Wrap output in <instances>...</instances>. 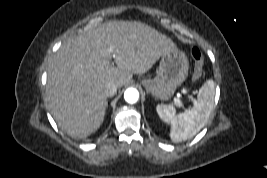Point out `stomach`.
I'll use <instances>...</instances> for the list:
<instances>
[{"mask_svg":"<svg viewBox=\"0 0 267 178\" xmlns=\"http://www.w3.org/2000/svg\"><path fill=\"white\" fill-rule=\"evenodd\" d=\"M188 69L187 56L175 47L161 55L155 78L143 79L141 84L154 97L168 100L173 96L177 87L187 78Z\"/></svg>","mask_w":267,"mask_h":178,"instance_id":"obj_1","label":"stomach"}]
</instances>
